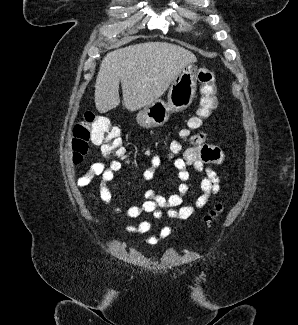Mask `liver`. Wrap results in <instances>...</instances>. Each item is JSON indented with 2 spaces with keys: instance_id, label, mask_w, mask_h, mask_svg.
I'll return each mask as SVG.
<instances>
[{
  "instance_id": "liver-1",
  "label": "liver",
  "mask_w": 298,
  "mask_h": 325,
  "mask_svg": "<svg viewBox=\"0 0 298 325\" xmlns=\"http://www.w3.org/2000/svg\"><path fill=\"white\" fill-rule=\"evenodd\" d=\"M197 62L194 52L172 42H140L107 52L96 76L94 102L99 112L120 104L119 84L127 110L159 100L182 66Z\"/></svg>"
}]
</instances>
